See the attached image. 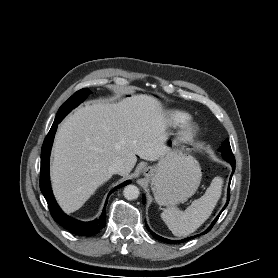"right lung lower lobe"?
<instances>
[{"label":"right lung lower lobe","mask_w":278,"mask_h":278,"mask_svg":"<svg viewBox=\"0 0 278 278\" xmlns=\"http://www.w3.org/2000/svg\"><path fill=\"white\" fill-rule=\"evenodd\" d=\"M64 117H60L54 120L53 125L46 136L42 150H41V170H40V189L43 193L47 203L49 210L51 212V215L53 219L59 223L61 226H63L68 231L82 236H90L97 232H99L102 228L106 225V213L105 208L106 204L104 206V210L99 217V219L91 222H81L78 220H75L66 214H64L59 206L57 205L54 196L51 191L50 182H49V156L51 151V146L53 143V138L57 129V125ZM129 183V181H126L119 186L115 187L109 195L116 190L117 188L126 186Z\"/></svg>","instance_id":"obj_1"}]
</instances>
